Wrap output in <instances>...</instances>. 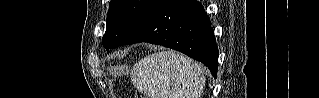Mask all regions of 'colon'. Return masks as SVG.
<instances>
[{
    "label": "colon",
    "instance_id": "1",
    "mask_svg": "<svg viewBox=\"0 0 319 98\" xmlns=\"http://www.w3.org/2000/svg\"><path fill=\"white\" fill-rule=\"evenodd\" d=\"M137 97H138V98H144L145 95H144L142 92H139V93L137 94Z\"/></svg>",
    "mask_w": 319,
    "mask_h": 98
}]
</instances>
